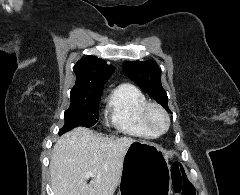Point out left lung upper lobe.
<instances>
[{"instance_id":"left-lung-upper-lobe-1","label":"left lung upper lobe","mask_w":240,"mask_h":195,"mask_svg":"<svg viewBox=\"0 0 240 195\" xmlns=\"http://www.w3.org/2000/svg\"><path fill=\"white\" fill-rule=\"evenodd\" d=\"M122 67L132 81L170 112L167 93L161 84V70L155 62H124Z\"/></svg>"}]
</instances>
